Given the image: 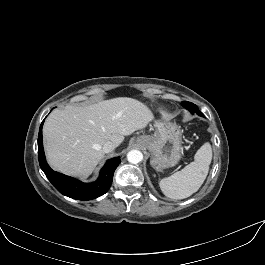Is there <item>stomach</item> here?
I'll return each instance as SVG.
<instances>
[{
	"instance_id": "0dacf381",
	"label": "stomach",
	"mask_w": 265,
	"mask_h": 265,
	"mask_svg": "<svg viewBox=\"0 0 265 265\" xmlns=\"http://www.w3.org/2000/svg\"><path fill=\"white\" fill-rule=\"evenodd\" d=\"M154 136L141 135L136 143L149 150L151 165L156 170L175 166L182 153V131L175 123L166 121L156 122Z\"/></svg>"
}]
</instances>
